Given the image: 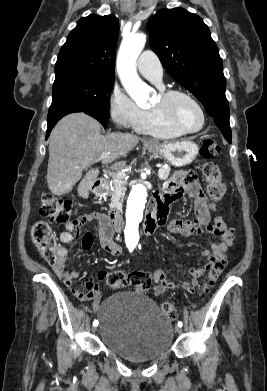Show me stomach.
Segmentation results:
<instances>
[{"instance_id": "stomach-1", "label": "stomach", "mask_w": 267, "mask_h": 391, "mask_svg": "<svg viewBox=\"0 0 267 391\" xmlns=\"http://www.w3.org/2000/svg\"><path fill=\"white\" fill-rule=\"evenodd\" d=\"M147 149L165 158L170 164L176 167H183L191 164L198 155L199 147L191 140H182L174 143H154L147 146Z\"/></svg>"}]
</instances>
